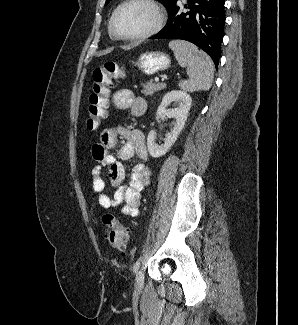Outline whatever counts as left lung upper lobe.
<instances>
[{"instance_id": "1", "label": "left lung upper lobe", "mask_w": 298, "mask_h": 325, "mask_svg": "<svg viewBox=\"0 0 298 325\" xmlns=\"http://www.w3.org/2000/svg\"><path fill=\"white\" fill-rule=\"evenodd\" d=\"M110 0H106V4L109 2ZM160 1H162L164 4H166V6L168 7V6H170L171 4H172V2L174 1V0H160Z\"/></svg>"}]
</instances>
